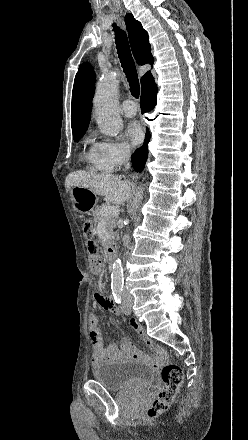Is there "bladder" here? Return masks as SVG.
Wrapping results in <instances>:
<instances>
[{
	"instance_id": "obj_1",
	"label": "bladder",
	"mask_w": 248,
	"mask_h": 440,
	"mask_svg": "<svg viewBox=\"0 0 248 440\" xmlns=\"http://www.w3.org/2000/svg\"><path fill=\"white\" fill-rule=\"evenodd\" d=\"M94 380L111 391L147 390L154 381V370L133 359L106 362L93 371Z\"/></svg>"
}]
</instances>
